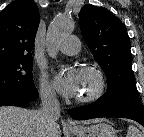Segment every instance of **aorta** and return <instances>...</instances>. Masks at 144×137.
<instances>
[{
	"label": "aorta",
	"instance_id": "aorta-1",
	"mask_svg": "<svg viewBox=\"0 0 144 137\" xmlns=\"http://www.w3.org/2000/svg\"><path fill=\"white\" fill-rule=\"evenodd\" d=\"M74 28L71 19L63 16H57L50 23L47 31V52L49 56L55 58L58 52V47L62 40L69 35Z\"/></svg>",
	"mask_w": 144,
	"mask_h": 137
}]
</instances>
